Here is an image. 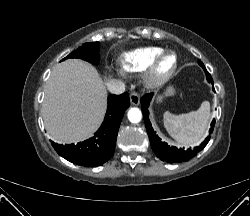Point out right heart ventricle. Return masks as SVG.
Instances as JSON below:
<instances>
[{"mask_svg": "<svg viewBox=\"0 0 250 216\" xmlns=\"http://www.w3.org/2000/svg\"><path fill=\"white\" fill-rule=\"evenodd\" d=\"M163 51H165L164 48L157 46L142 47L129 51L122 56L121 67L123 71L128 73H143L153 58Z\"/></svg>", "mask_w": 250, "mask_h": 216, "instance_id": "right-heart-ventricle-1", "label": "right heart ventricle"}]
</instances>
